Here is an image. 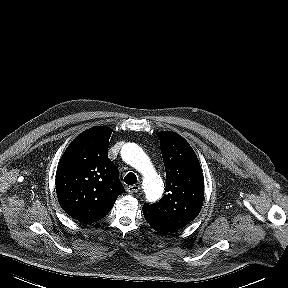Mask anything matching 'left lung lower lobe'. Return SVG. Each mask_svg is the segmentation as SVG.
<instances>
[{
	"instance_id": "1",
	"label": "left lung lower lobe",
	"mask_w": 288,
	"mask_h": 288,
	"mask_svg": "<svg viewBox=\"0 0 288 288\" xmlns=\"http://www.w3.org/2000/svg\"><path fill=\"white\" fill-rule=\"evenodd\" d=\"M144 217L146 221L152 226L153 229L158 231L159 233L166 234V233H174L177 229L173 228L172 226L166 225L153 217H151L148 213L143 210Z\"/></svg>"
}]
</instances>
